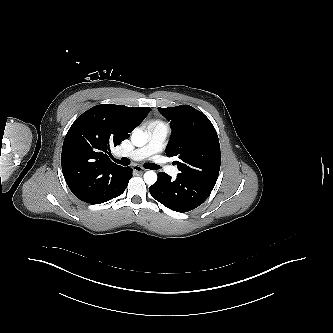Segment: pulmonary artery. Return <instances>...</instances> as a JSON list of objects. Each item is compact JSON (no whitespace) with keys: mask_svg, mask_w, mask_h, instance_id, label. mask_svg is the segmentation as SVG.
Here are the masks:
<instances>
[{"mask_svg":"<svg viewBox=\"0 0 333 333\" xmlns=\"http://www.w3.org/2000/svg\"><path fill=\"white\" fill-rule=\"evenodd\" d=\"M148 132L149 139L145 146L131 151H119L117 156L128 157L133 160H142L159 153L169 133L168 125L162 122L153 123L149 126ZM165 170L172 176L178 173L177 167L173 166H168Z\"/></svg>","mask_w":333,"mask_h":333,"instance_id":"e3ab8cb5","label":"pulmonary artery"}]
</instances>
